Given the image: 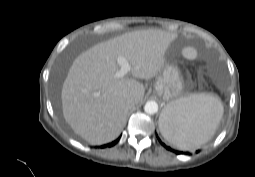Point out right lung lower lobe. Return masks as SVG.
I'll return each mask as SVG.
<instances>
[{
	"instance_id": "right-lung-lower-lobe-1",
	"label": "right lung lower lobe",
	"mask_w": 255,
	"mask_h": 177,
	"mask_svg": "<svg viewBox=\"0 0 255 177\" xmlns=\"http://www.w3.org/2000/svg\"><path fill=\"white\" fill-rule=\"evenodd\" d=\"M119 139H120V137H119L118 139H116L115 141H113V142L107 144V145H103L102 147H107V146H108V147H111V146L115 145V144L119 141Z\"/></svg>"
}]
</instances>
